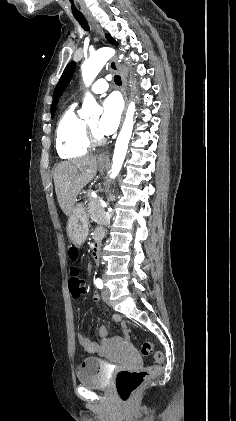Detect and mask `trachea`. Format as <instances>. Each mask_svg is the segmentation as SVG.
Wrapping results in <instances>:
<instances>
[{
	"instance_id": "3493384b",
	"label": "trachea",
	"mask_w": 236,
	"mask_h": 421,
	"mask_svg": "<svg viewBox=\"0 0 236 421\" xmlns=\"http://www.w3.org/2000/svg\"><path fill=\"white\" fill-rule=\"evenodd\" d=\"M74 18L79 22V24L81 25V27L86 31L89 32L90 28L89 25L87 23V21L85 20V17L83 15H74ZM114 81L116 83V85H121V77L119 75H115L114 76Z\"/></svg>"
}]
</instances>
